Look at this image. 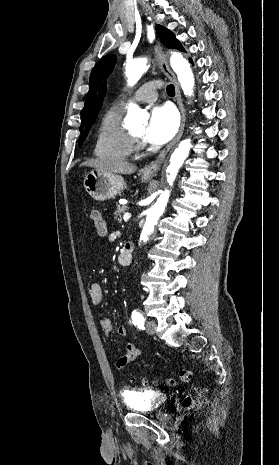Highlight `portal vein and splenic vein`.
<instances>
[{
    "label": "portal vein and splenic vein",
    "mask_w": 279,
    "mask_h": 465,
    "mask_svg": "<svg viewBox=\"0 0 279 465\" xmlns=\"http://www.w3.org/2000/svg\"><path fill=\"white\" fill-rule=\"evenodd\" d=\"M131 218V213H125L123 216L124 221H128Z\"/></svg>",
    "instance_id": "portal-vein-and-splenic-vein-1"
}]
</instances>
